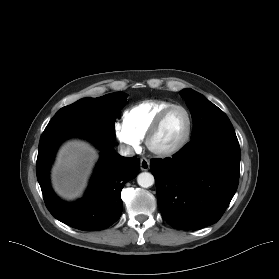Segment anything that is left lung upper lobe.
Here are the masks:
<instances>
[{
  "label": "left lung upper lobe",
  "instance_id": "5c2ea615",
  "mask_svg": "<svg viewBox=\"0 0 279 279\" xmlns=\"http://www.w3.org/2000/svg\"><path fill=\"white\" fill-rule=\"evenodd\" d=\"M192 112V139L214 131H234L226 114L200 93L185 89L180 92Z\"/></svg>",
  "mask_w": 279,
  "mask_h": 279
}]
</instances>
